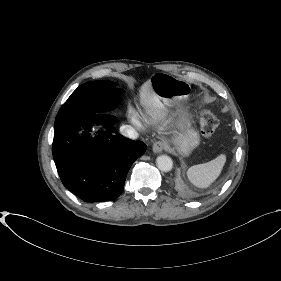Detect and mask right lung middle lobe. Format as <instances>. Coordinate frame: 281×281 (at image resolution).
<instances>
[{
  "instance_id": "obj_1",
  "label": "right lung middle lobe",
  "mask_w": 281,
  "mask_h": 281,
  "mask_svg": "<svg viewBox=\"0 0 281 281\" xmlns=\"http://www.w3.org/2000/svg\"><path fill=\"white\" fill-rule=\"evenodd\" d=\"M120 90L111 81H90L80 85L59 110L55 124L77 113H101L119 103Z\"/></svg>"
}]
</instances>
